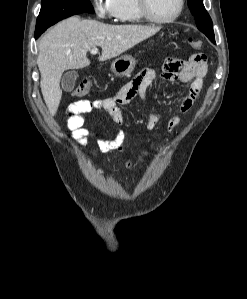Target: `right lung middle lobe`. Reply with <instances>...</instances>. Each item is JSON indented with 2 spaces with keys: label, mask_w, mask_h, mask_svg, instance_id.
<instances>
[{
  "label": "right lung middle lobe",
  "mask_w": 247,
  "mask_h": 299,
  "mask_svg": "<svg viewBox=\"0 0 247 299\" xmlns=\"http://www.w3.org/2000/svg\"><path fill=\"white\" fill-rule=\"evenodd\" d=\"M80 13H94L90 0H42L35 37H39L58 21Z\"/></svg>",
  "instance_id": "1"
}]
</instances>
